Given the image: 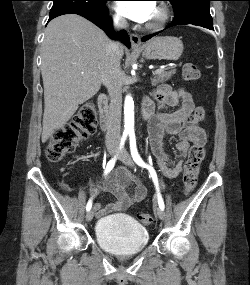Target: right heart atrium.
Returning a JSON list of instances; mask_svg holds the SVG:
<instances>
[{"label":"right heart atrium","instance_id":"right-heart-atrium-1","mask_svg":"<svg viewBox=\"0 0 250 285\" xmlns=\"http://www.w3.org/2000/svg\"><path fill=\"white\" fill-rule=\"evenodd\" d=\"M113 21L116 25L122 26L125 24V20L119 12L113 14Z\"/></svg>","mask_w":250,"mask_h":285}]
</instances>
